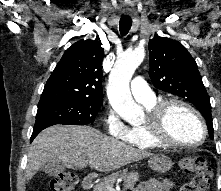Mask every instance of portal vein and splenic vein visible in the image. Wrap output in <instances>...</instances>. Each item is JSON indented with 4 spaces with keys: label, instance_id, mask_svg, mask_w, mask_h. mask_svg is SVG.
Segmentation results:
<instances>
[{
    "label": "portal vein and splenic vein",
    "instance_id": "18ae733b",
    "mask_svg": "<svg viewBox=\"0 0 221 191\" xmlns=\"http://www.w3.org/2000/svg\"><path fill=\"white\" fill-rule=\"evenodd\" d=\"M108 189L109 191H115L112 187H109Z\"/></svg>",
    "mask_w": 221,
    "mask_h": 191
}]
</instances>
